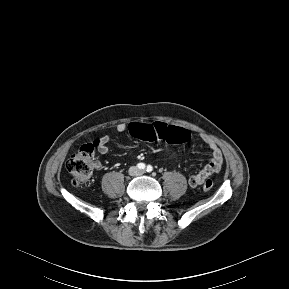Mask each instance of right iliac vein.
Masks as SVG:
<instances>
[{
	"label": "right iliac vein",
	"mask_w": 289,
	"mask_h": 289,
	"mask_svg": "<svg viewBox=\"0 0 289 289\" xmlns=\"http://www.w3.org/2000/svg\"><path fill=\"white\" fill-rule=\"evenodd\" d=\"M135 172H136L135 168H131V169H130V173H131V174H134Z\"/></svg>",
	"instance_id": "right-iliac-vein-1"
}]
</instances>
